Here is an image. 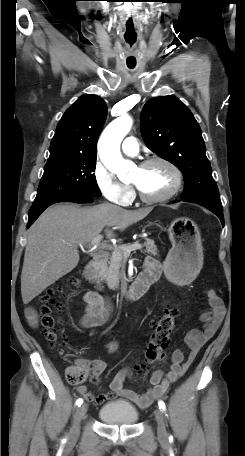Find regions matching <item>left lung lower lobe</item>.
<instances>
[{
    "label": "left lung lower lobe",
    "instance_id": "left-lung-lower-lobe-1",
    "mask_svg": "<svg viewBox=\"0 0 245 456\" xmlns=\"http://www.w3.org/2000/svg\"><path fill=\"white\" fill-rule=\"evenodd\" d=\"M206 208L209 209L210 211H212L214 214H216L219 217V219L221 220L222 225L224 226V218H223L222 210H218V209L211 208V207H206Z\"/></svg>",
    "mask_w": 245,
    "mask_h": 456
}]
</instances>
